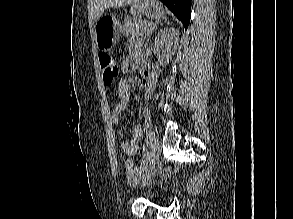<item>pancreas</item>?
<instances>
[{
  "instance_id": "1",
  "label": "pancreas",
  "mask_w": 293,
  "mask_h": 219,
  "mask_svg": "<svg viewBox=\"0 0 293 219\" xmlns=\"http://www.w3.org/2000/svg\"><path fill=\"white\" fill-rule=\"evenodd\" d=\"M154 24L134 17H127L122 27V32L126 36H144L152 32Z\"/></svg>"
}]
</instances>
